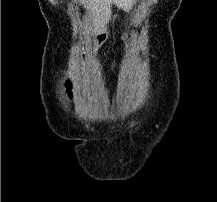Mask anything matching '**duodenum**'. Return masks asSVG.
Listing matches in <instances>:
<instances>
[{
  "instance_id": "duodenum-1",
  "label": "duodenum",
  "mask_w": 217,
  "mask_h": 202,
  "mask_svg": "<svg viewBox=\"0 0 217 202\" xmlns=\"http://www.w3.org/2000/svg\"><path fill=\"white\" fill-rule=\"evenodd\" d=\"M107 39H108L107 34L99 35V37H98V45L101 46L102 44H104L106 42Z\"/></svg>"
}]
</instances>
